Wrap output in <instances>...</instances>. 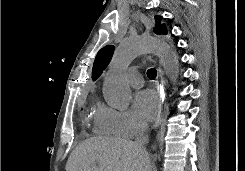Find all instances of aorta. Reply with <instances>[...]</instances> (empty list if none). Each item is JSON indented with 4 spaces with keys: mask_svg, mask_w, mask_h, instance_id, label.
Returning <instances> with one entry per match:
<instances>
[{
    "mask_svg": "<svg viewBox=\"0 0 245 171\" xmlns=\"http://www.w3.org/2000/svg\"><path fill=\"white\" fill-rule=\"evenodd\" d=\"M146 53L156 54L166 75L176 81L179 62L170 45L152 36L126 38L119 44L103 84V96L110 107L118 110H126L129 107L132 93L124 73L136 57Z\"/></svg>",
    "mask_w": 245,
    "mask_h": 171,
    "instance_id": "aorta-1",
    "label": "aorta"
}]
</instances>
